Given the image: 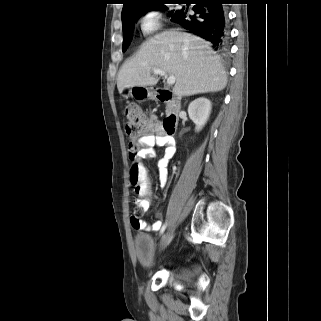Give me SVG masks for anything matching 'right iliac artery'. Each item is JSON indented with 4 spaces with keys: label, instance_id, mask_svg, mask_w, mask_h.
I'll return each mask as SVG.
<instances>
[{
    "label": "right iliac artery",
    "instance_id": "right-iliac-artery-1",
    "mask_svg": "<svg viewBox=\"0 0 321 321\" xmlns=\"http://www.w3.org/2000/svg\"><path fill=\"white\" fill-rule=\"evenodd\" d=\"M166 227H167V222L165 224H163V226L161 228V231H160L161 234H163V232L165 231Z\"/></svg>",
    "mask_w": 321,
    "mask_h": 321
}]
</instances>
